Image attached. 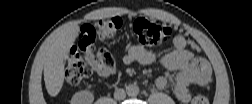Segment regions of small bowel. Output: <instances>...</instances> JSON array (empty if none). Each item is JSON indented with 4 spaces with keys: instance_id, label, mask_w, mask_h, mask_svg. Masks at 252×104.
<instances>
[{
    "instance_id": "c3829d8e",
    "label": "small bowel",
    "mask_w": 252,
    "mask_h": 104,
    "mask_svg": "<svg viewBox=\"0 0 252 104\" xmlns=\"http://www.w3.org/2000/svg\"><path fill=\"white\" fill-rule=\"evenodd\" d=\"M155 60V55L144 46H132L124 56L126 65L139 63L149 65ZM86 61L90 68L100 77H107L111 72L103 66L98 57L87 54ZM161 64L177 74L173 83V90L177 99L183 103L190 100L189 86H203L210 82L212 72L208 62L194 56L187 49V41L183 36H176L173 40V49L160 57ZM170 84L168 77L160 76L156 80V86L160 90L166 89Z\"/></svg>"
}]
</instances>
